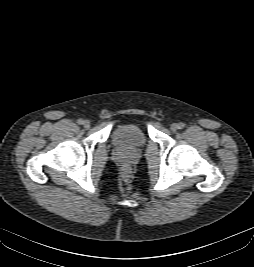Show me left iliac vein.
I'll use <instances>...</instances> for the list:
<instances>
[{
  "label": "left iliac vein",
  "mask_w": 254,
  "mask_h": 267,
  "mask_svg": "<svg viewBox=\"0 0 254 267\" xmlns=\"http://www.w3.org/2000/svg\"><path fill=\"white\" fill-rule=\"evenodd\" d=\"M170 129H171V131H173V132L177 131V129H178V124H177V123H173V124H171Z\"/></svg>",
  "instance_id": "4c4485c4"
}]
</instances>
